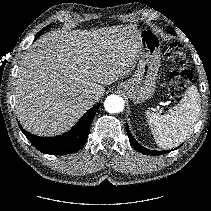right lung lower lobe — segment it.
<instances>
[{"label": "right lung lower lobe", "instance_id": "right-lung-lower-lobe-1", "mask_svg": "<svg viewBox=\"0 0 211 211\" xmlns=\"http://www.w3.org/2000/svg\"><path fill=\"white\" fill-rule=\"evenodd\" d=\"M99 106L98 104L88 110L71 130L57 137H38L23 130L21 125L19 126L24 135L39 151L48 154L66 155L83 147L89 134L91 122Z\"/></svg>", "mask_w": 211, "mask_h": 211}]
</instances>
